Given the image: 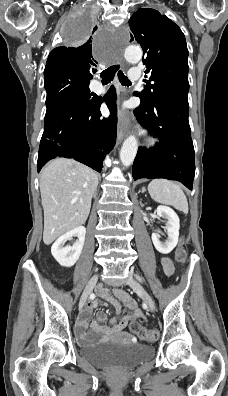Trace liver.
<instances>
[{
    "label": "liver",
    "instance_id": "1",
    "mask_svg": "<svg viewBox=\"0 0 228 396\" xmlns=\"http://www.w3.org/2000/svg\"><path fill=\"white\" fill-rule=\"evenodd\" d=\"M97 186L96 172L73 159L57 158L42 170L40 192L46 245L86 222Z\"/></svg>",
    "mask_w": 228,
    "mask_h": 396
}]
</instances>
